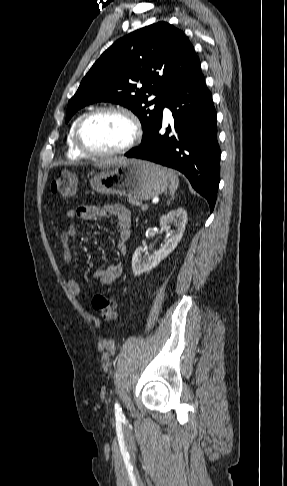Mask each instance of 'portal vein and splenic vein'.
Masks as SVG:
<instances>
[{"label": "portal vein and splenic vein", "instance_id": "obj_1", "mask_svg": "<svg viewBox=\"0 0 287 486\" xmlns=\"http://www.w3.org/2000/svg\"><path fill=\"white\" fill-rule=\"evenodd\" d=\"M142 210L143 211H147L148 210V205L147 204L142 205Z\"/></svg>", "mask_w": 287, "mask_h": 486}]
</instances>
